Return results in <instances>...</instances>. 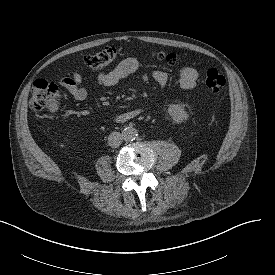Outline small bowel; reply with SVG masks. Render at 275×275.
<instances>
[{
  "mask_svg": "<svg viewBox=\"0 0 275 275\" xmlns=\"http://www.w3.org/2000/svg\"><path fill=\"white\" fill-rule=\"evenodd\" d=\"M139 67V62L134 57L123 59L115 68L101 73L96 78L98 88H110L116 86L122 79L133 74ZM155 82L165 88L168 84V73L161 69H155L152 73ZM199 77L198 71L191 66L183 67L179 73L178 84L182 89H192L196 86ZM60 85L77 101H83L88 97V87L83 76L74 71L71 75L60 79ZM142 108H134L118 115L119 121H127L135 118L142 112Z\"/></svg>",
  "mask_w": 275,
  "mask_h": 275,
  "instance_id": "small-bowel-1",
  "label": "small bowel"
}]
</instances>
